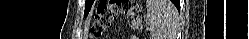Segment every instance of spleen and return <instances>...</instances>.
Returning a JSON list of instances; mask_svg holds the SVG:
<instances>
[{
	"instance_id": "3e777b00",
	"label": "spleen",
	"mask_w": 249,
	"mask_h": 39,
	"mask_svg": "<svg viewBox=\"0 0 249 39\" xmlns=\"http://www.w3.org/2000/svg\"><path fill=\"white\" fill-rule=\"evenodd\" d=\"M146 23L152 39H169L172 33V19L176 11L166 0H147Z\"/></svg>"
}]
</instances>
